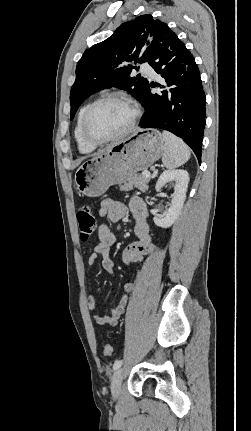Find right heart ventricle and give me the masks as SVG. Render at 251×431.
Instances as JSON below:
<instances>
[{
    "instance_id": "e07e8e85",
    "label": "right heart ventricle",
    "mask_w": 251,
    "mask_h": 431,
    "mask_svg": "<svg viewBox=\"0 0 251 431\" xmlns=\"http://www.w3.org/2000/svg\"><path fill=\"white\" fill-rule=\"evenodd\" d=\"M91 104V102H88L86 104H84L77 115V119H76V124H75V129H74V137L78 146V149L81 153L83 154H88L93 152L97 146L91 145L89 143H87L85 141V139L82 136V132H81V121H82V117L86 111V109L89 107V105Z\"/></svg>"
}]
</instances>
